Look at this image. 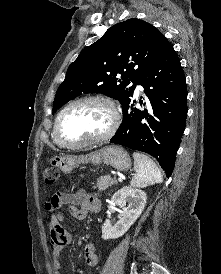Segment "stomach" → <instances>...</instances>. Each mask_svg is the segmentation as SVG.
I'll use <instances>...</instances> for the list:
<instances>
[{
    "label": "stomach",
    "mask_w": 221,
    "mask_h": 274,
    "mask_svg": "<svg viewBox=\"0 0 221 274\" xmlns=\"http://www.w3.org/2000/svg\"><path fill=\"white\" fill-rule=\"evenodd\" d=\"M80 163H101L121 171L128 170L131 166V159L128 153L118 146H107L86 155L54 156L50 160L53 167L59 168L65 174L72 172L73 168Z\"/></svg>",
    "instance_id": "0dacf381"
}]
</instances>
